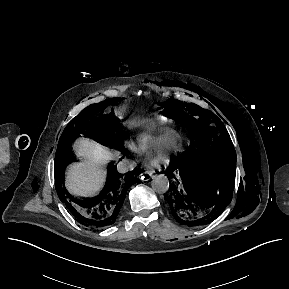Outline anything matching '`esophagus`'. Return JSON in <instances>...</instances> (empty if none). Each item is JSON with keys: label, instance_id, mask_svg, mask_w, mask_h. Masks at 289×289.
<instances>
[{"label": "esophagus", "instance_id": "obj_1", "mask_svg": "<svg viewBox=\"0 0 289 289\" xmlns=\"http://www.w3.org/2000/svg\"><path fill=\"white\" fill-rule=\"evenodd\" d=\"M154 178V174H153V172H151V171H145L143 174H142V177H141V179L143 180V181H149V180H151V179H153Z\"/></svg>", "mask_w": 289, "mask_h": 289}]
</instances>
